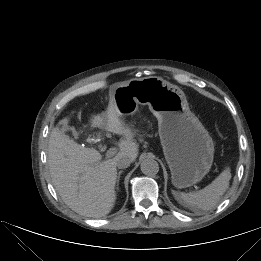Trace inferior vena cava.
<instances>
[{"label": "inferior vena cava", "instance_id": "obj_1", "mask_svg": "<svg viewBox=\"0 0 261 261\" xmlns=\"http://www.w3.org/2000/svg\"><path fill=\"white\" fill-rule=\"evenodd\" d=\"M132 159L127 155H120L117 157L116 166L119 169H124L130 166Z\"/></svg>", "mask_w": 261, "mask_h": 261}]
</instances>
